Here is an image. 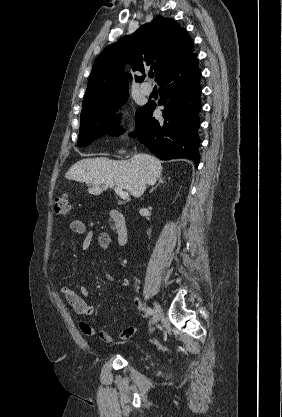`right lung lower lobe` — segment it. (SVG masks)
I'll return each instance as SVG.
<instances>
[{"label":"right lung lower lobe","mask_w":282,"mask_h":417,"mask_svg":"<svg viewBox=\"0 0 282 417\" xmlns=\"http://www.w3.org/2000/svg\"><path fill=\"white\" fill-rule=\"evenodd\" d=\"M200 77L197 59L163 77L158 83L162 90L158 105L164 106V119L157 121L152 117L156 104L148 102L136 117L137 130L130 136L140 138L162 160L187 158L197 168L200 158Z\"/></svg>","instance_id":"right-lung-lower-lobe-1"}]
</instances>
